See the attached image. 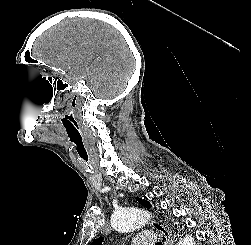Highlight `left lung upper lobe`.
Wrapping results in <instances>:
<instances>
[{
    "mask_svg": "<svg viewBox=\"0 0 251 245\" xmlns=\"http://www.w3.org/2000/svg\"><path fill=\"white\" fill-rule=\"evenodd\" d=\"M136 200L142 205V206H145L147 208H150L151 207V204L146 201V200H142L141 198L139 197H136ZM102 242H103V238L102 237H99L98 239L94 240L92 242L91 245H102Z\"/></svg>",
    "mask_w": 251,
    "mask_h": 245,
    "instance_id": "1",
    "label": "left lung upper lobe"
}]
</instances>
